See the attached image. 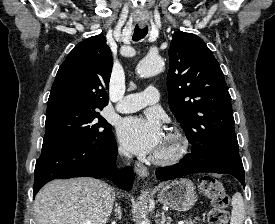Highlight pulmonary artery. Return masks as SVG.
Segmentation results:
<instances>
[{
	"mask_svg": "<svg viewBox=\"0 0 275 224\" xmlns=\"http://www.w3.org/2000/svg\"><path fill=\"white\" fill-rule=\"evenodd\" d=\"M160 97L157 88L147 87L143 92L125 96L116 108L122 113H131L157 103Z\"/></svg>",
	"mask_w": 275,
	"mask_h": 224,
	"instance_id": "pulmonary-artery-1",
	"label": "pulmonary artery"
}]
</instances>
